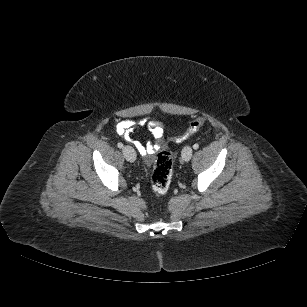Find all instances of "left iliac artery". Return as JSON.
<instances>
[{
  "label": "left iliac artery",
  "mask_w": 307,
  "mask_h": 307,
  "mask_svg": "<svg viewBox=\"0 0 307 307\" xmlns=\"http://www.w3.org/2000/svg\"><path fill=\"white\" fill-rule=\"evenodd\" d=\"M193 148H194L195 150H197V149L199 148V145L196 143V144L193 145Z\"/></svg>",
  "instance_id": "44dca946"
}]
</instances>
